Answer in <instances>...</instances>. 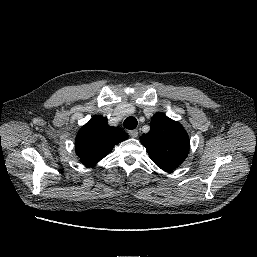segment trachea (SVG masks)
<instances>
[{
    "mask_svg": "<svg viewBox=\"0 0 257 257\" xmlns=\"http://www.w3.org/2000/svg\"><path fill=\"white\" fill-rule=\"evenodd\" d=\"M123 126L126 129L133 130L137 127V120L134 117H128L125 119Z\"/></svg>",
    "mask_w": 257,
    "mask_h": 257,
    "instance_id": "trachea-1",
    "label": "trachea"
}]
</instances>
